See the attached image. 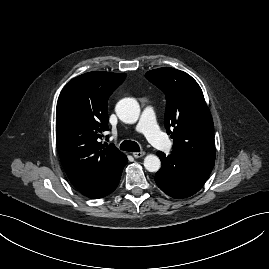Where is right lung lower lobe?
Here are the masks:
<instances>
[{"label": "right lung lower lobe", "instance_id": "1", "mask_svg": "<svg viewBox=\"0 0 269 269\" xmlns=\"http://www.w3.org/2000/svg\"><path fill=\"white\" fill-rule=\"evenodd\" d=\"M127 162L128 160L126 157V159L120 164V166L106 178L87 187L78 189L79 192L90 198H102L109 195L118 186L123 168L127 164Z\"/></svg>", "mask_w": 269, "mask_h": 269}]
</instances>
